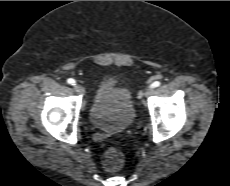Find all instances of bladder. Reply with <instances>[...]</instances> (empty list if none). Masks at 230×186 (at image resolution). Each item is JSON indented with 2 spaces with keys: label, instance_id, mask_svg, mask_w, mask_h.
I'll return each instance as SVG.
<instances>
[{
  "label": "bladder",
  "instance_id": "obj_1",
  "mask_svg": "<svg viewBox=\"0 0 230 186\" xmlns=\"http://www.w3.org/2000/svg\"><path fill=\"white\" fill-rule=\"evenodd\" d=\"M90 123L107 133H120L132 126L135 108L128 92L105 80L98 86L89 112Z\"/></svg>",
  "mask_w": 230,
  "mask_h": 186
}]
</instances>
